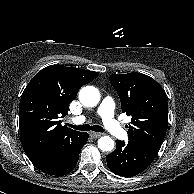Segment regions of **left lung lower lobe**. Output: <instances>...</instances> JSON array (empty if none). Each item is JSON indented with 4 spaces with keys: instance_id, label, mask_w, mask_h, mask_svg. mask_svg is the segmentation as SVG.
<instances>
[{
    "instance_id": "0a47b994",
    "label": "left lung lower lobe",
    "mask_w": 194,
    "mask_h": 194,
    "mask_svg": "<svg viewBox=\"0 0 194 194\" xmlns=\"http://www.w3.org/2000/svg\"><path fill=\"white\" fill-rule=\"evenodd\" d=\"M116 149L108 154L106 161L109 169L120 176L133 177L145 170L156 157L150 150L134 141H116Z\"/></svg>"
}]
</instances>
